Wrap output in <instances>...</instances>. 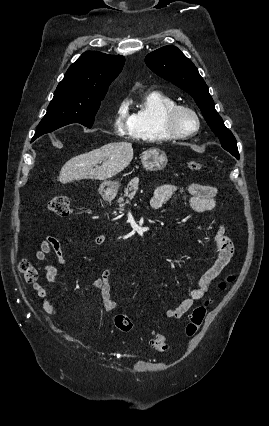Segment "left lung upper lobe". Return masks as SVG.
Segmentation results:
<instances>
[{"label": "left lung upper lobe", "mask_w": 269, "mask_h": 426, "mask_svg": "<svg viewBox=\"0 0 269 426\" xmlns=\"http://www.w3.org/2000/svg\"><path fill=\"white\" fill-rule=\"evenodd\" d=\"M145 62L160 77L190 94L222 147L239 159L237 142L217 113L208 87L197 68L177 47L168 45L149 53Z\"/></svg>", "instance_id": "left-lung-upper-lobe-1"}]
</instances>
